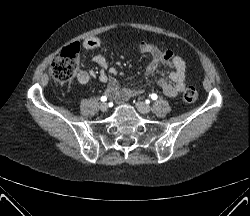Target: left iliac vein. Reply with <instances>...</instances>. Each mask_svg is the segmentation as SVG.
<instances>
[{
    "label": "left iliac vein",
    "instance_id": "1",
    "mask_svg": "<svg viewBox=\"0 0 250 216\" xmlns=\"http://www.w3.org/2000/svg\"><path fill=\"white\" fill-rule=\"evenodd\" d=\"M136 107L138 111L142 114H147L151 111V107L144 102H137Z\"/></svg>",
    "mask_w": 250,
    "mask_h": 216
}]
</instances>
